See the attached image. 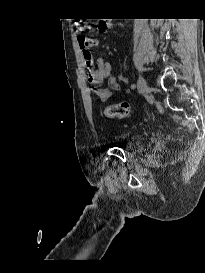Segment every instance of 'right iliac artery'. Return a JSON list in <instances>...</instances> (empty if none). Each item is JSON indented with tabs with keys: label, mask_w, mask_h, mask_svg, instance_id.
Here are the masks:
<instances>
[{
	"label": "right iliac artery",
	"mask_w": 205,
	"mask_h": 273,
	"mask_svg": "<svg viewBox=\"0 0 205 273\" xmlns=\"http://www.w3.org/2000/svg\"><path fill=\"white\" fill-rule=\"evenodd\" d=\"M136 85L135 84H132L131 85V89H135Z\"/></svg>",
	"instance_id": "82829eb1"
}]
</instances>
